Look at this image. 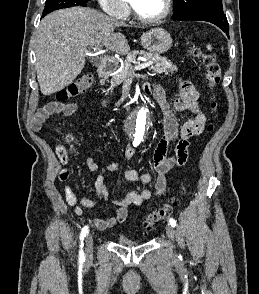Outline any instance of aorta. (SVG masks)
Returning a JSON list of instances; mask_svg holds the SVG:
<instances>
[{
	"label": "aorta",
	"mask_w": 259,
	"mask_h": 294,
	"mask_svg": "<svg viewBox=\"0 0 259 294\" xmlns=\"http://www.w3.org/2000/svg\"><path fill=\"white\" fill-rule=\"evenodd\" d=\"M151 114L148 108H141L131 118L129 132L135 138L145 140L150 134Z\"/></svg>",
	"instance_id": "762f6f07"
}]
</instances>
